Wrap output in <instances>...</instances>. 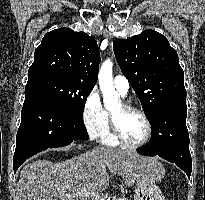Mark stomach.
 I'll return each mask as SVG.
<instances>
[{
	"mask_svg": "<svg viewBox=\"0 0 205 200\" xmlns=\"http://www.w3.org/2000/svg\"><path fill=\"white\" fill-rule=\"evenodd\" d=\"M158 174H161L162 165L158 162L155 164ZM155 177H139L135 182L134 200H165L161 190L155 184Z\"/></svg>",
	"mask_w": 205,
	"mask_h": 200,
	"instance_id": "stomach-1",
	"label": "stomach"
}]
</instances>
